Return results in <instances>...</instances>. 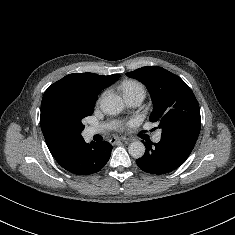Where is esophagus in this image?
<instances>
[{
	"label": "esophagus",
	"mask_w": 235,
	"mask_h": 235,
	"mask_svg": "<svg viewBox=\"0 0 235 235\" xmlns=\"http://www.w3.org/2000/svg\"><path fill=\"white\" fill-rule=\"evenodd\" d=\"M126 140L127 139L124 138V137H113V138L110 139V143L111 144H117V143H119L121 141H126Z\"/></svg>",
	"instance_id": "1"
}]
</instances>
